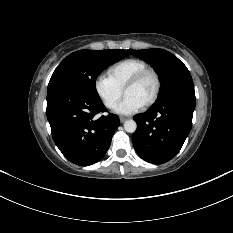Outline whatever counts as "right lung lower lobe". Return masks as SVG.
Listing matches in <instances>:
<instances>
[{"label": "right lung lower lobe", "instance_id": "obj_1", "mask_svg": "<svg viewBox=\"0 0 233 233\" xmlns=\"http://www.w3.org/2000/svg\"><path fill=\"white\" fill-rule=\"evenodd\" d=\"M105 111L101 99L68 90L47 93L46 113L52 137L69 161L88 166L103 158L120 124L115 114L95 117Z\"/></svg>", "mask_w": 233, "mask_h": 233}]
</instances>
